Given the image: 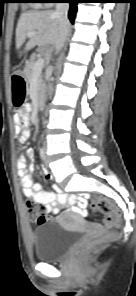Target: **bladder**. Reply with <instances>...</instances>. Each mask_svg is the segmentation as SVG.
I'll use <instances>...</instances> for the list:
<instances>
[{
	"mask_svg": "<svg viewBox=\"0 0 136 296\" xmlns=\"http://www.w3.org/2000/svg\"><path fill=\"white\" fill-rule=\"evenodd\" d=\"M80 232L66 229L58 223H44L32 232L35 258L41 262H55L77 242Z\"/></svg>",
	"mask_w": 136,
	"mask_h": 296,
	"instance_id": "31cf9c89",
	"label": "bladder"
}]
</instances>
